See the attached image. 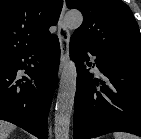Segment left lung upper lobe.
<instances>
[{
  "label": "left lung upper lobe",
  "instance_id": "left-lung-upper-lobe-1",
  "mask_svg": "<svg viewBox=\"0 0 141 139\" xmlns=\"http://www.w3.org/2000/svg\"><path fill=\"white\" fill-rule=\"evenodd\" d=\"M67 7L83 13V23L73 38L97 49L141 60V35L130 8L121 0H66Z\"/></svg>",
  "mask_w": 141,
  "mask_h": 139
}]
</instances>
